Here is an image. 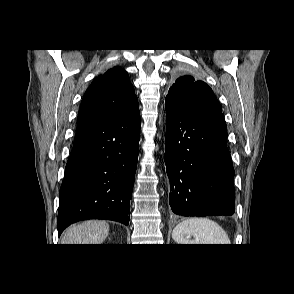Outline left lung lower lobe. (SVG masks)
<instances>
[{"label":"left lung lower lobe","mask_w":294,"mask_h":294,"mask_svg":"<svg viewBox=\"0 0 294 294\" xmlns=\"http://www.w3.org/2000/svg\"><path fill=\"white\" fill-rule=\"evenodd\" d=\"M169 203L182 216L232 215L234 169L222 112L190 113L165 100Z\"/></svg>","instance_id":"left-lung-lower-lobe-1"}]
</instances>
